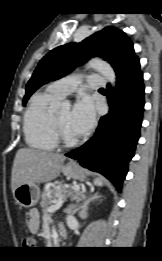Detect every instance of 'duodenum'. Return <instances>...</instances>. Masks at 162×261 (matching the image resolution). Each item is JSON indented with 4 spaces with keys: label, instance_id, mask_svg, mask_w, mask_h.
Here are the masks:
<instances>
[{
    "label": "duodenum",
    "instance_id": "410a0bca",
    "mask_svg": "<svg viewBox=\"0 0 162 261\" xmlns=\"http://www.w3.org/2000/svg\"><path fill=\"white\" fill-rule=\"evenodd\" d=\"M58 233H59V237H60V238H64V237H66V235H67V231H66L65 228H63V227H60Z\"/></svg>",
    "mask_w": 162,
    "mask_h": 261
}]
</instances>
